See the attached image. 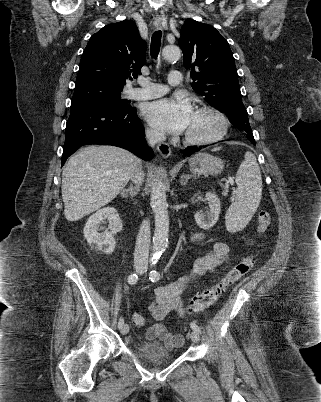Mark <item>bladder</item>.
Masks as SVG:
<instances>
[{
  "instance_id": "31cf9c89",
  "label": "bladder",
  "mask_w": 321,
  "mask_h": 402,
  "mask_svg": "<svg viewBox=\"0 0 321 402\" xmlns=\"http://www.w3.org/2000/svg\"><path fill=\"white\" fill-rule=\"evenodd\" d=\"M137 354L143 360L151 363L158 361H170L174 358V354L169 352L165 346L159 342L144 340L137 348Z\"/></svg>"
}]
</instances>
